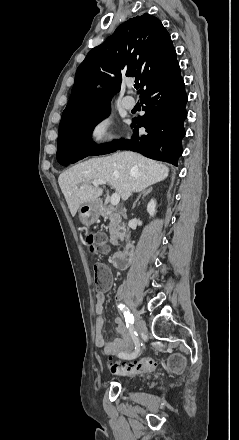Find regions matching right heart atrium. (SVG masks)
I'll list each match as a JSON object with an SVG mask.
<instances>
[{
  "label": "right heart atrium",
  "instance_id": "1",
  "mask_svg": "<svg viewBox=\"0 0 239 440\" xmlns=\"http://www.w3.org/2000/svg\"><path fill=\"white\" fill-rule=\"evenodd\" d=\"M86 143L93 148H106L116 141L113 120L102 115L90 123L85 132Z\"/></svg>",
  "mask_w": 239,
  "mask_h": 440
}]
</instances>
